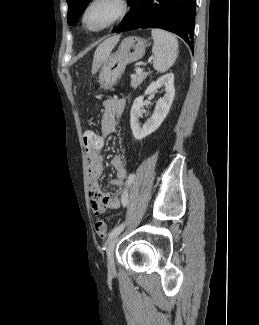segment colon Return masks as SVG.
Wrapping results in <instances>:
<instances>
[{"label":"colon","instance_id":"1","mask_svg":"<svg viewBox=\"0 0 259 325\" xmlns=\"http://www.w3.org/2000/svg\"><path fill=\"white\" fill-rule=\"evenodd\" d=\"M83 140H84L85 148H87V149H102L103 148V139L97 138L96 133L93 131H86L84 133ZM94 229H95V232L99 238H101V239L106 238V236L108 234V230H107L106 223L102 219L97 218L95 220Z\"/></svg>","mask_w":259,"mask_h":325}]
</instances>
